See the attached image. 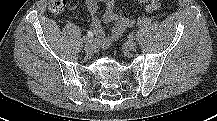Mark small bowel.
Segmentation results:
<instances>
[{
    "label": "small bowel",
    "instance_id": "c3829d8e",
    "mask_svg": "<svg viewBox=\"0 0 217 121\" xmlns=\"http://www.w3.org/2000/svg\"><path fill=\"white\" fill-rule=\"evenodd\" d=\"M144 5V10L147 13H152L160 8L161 0H136ZM87 9L91 16V29L98 39V43L102 47L109 46L112 42L118 40L126 29L134 26L135 20L133 18L123 15L122 12L117 11L116 0H85ZM103 4L105 10L100 14L99 5ZM103 23H114L110 33L106 34Z\"/></svg>",
    "mask_w": 217,
    "mask_h": 121
}]
</instances>
